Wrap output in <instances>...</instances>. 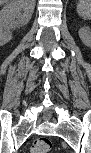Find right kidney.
I'll return each mask as SVG.
<instances>
[{"instance_id":"1","label":"right kidney","mask_w":91,"mask_h":153,"mask_svg":"<svg viewBox=\"0 0 91 153\" xmlns=\"http://www.w3.org/2000/svg\"><path fill=\"white\" fill-rule=\"evenodd\" d=\"M35 4L28 0H12L0 12V43L5 45L12 39V29L26 25L33 14Z\"/></svg>"}]
</instances>
